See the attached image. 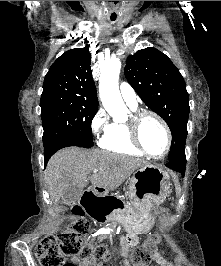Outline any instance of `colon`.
Listing matches in <instances>:
<instances>
[{
    "label": "colon",
    "instance_id": "1",
    "mask_svg": "<svg viewBox=\"0 0 221 266\" xmlns=\"http://www.w3.org/2000/svg\"><path fill=\"white\" fill-rule=\"evenodd\" d=\"M71 213L78 217L69 227L58 236H45L36 249L41 266H75L66 262V258H82L84 260H107L109 253L103 245L92 246L84 241L90 225L83 218L84 211L79 206H74ZM160 238L156 235L148 237L142 245L137 247L131 256L133 266H149L156 252Z\"/></svg>",
    "mask_w": 221,
    "mask_h": 266
}]
</instances>
